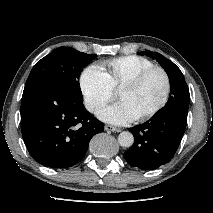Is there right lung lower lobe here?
<instances>
[{
    "label": "right lung lower lobe",
    "mask_w": 213,
    "mask_h": 213,
    "mask_svg": "<svg viewBox=\"0 0 213 213\" xmlns=\"http://www.w3.org/2000/svg\"><path fill=\"white\" fill-rule=\"evenodd\" d=\"M25 145L38 163L68 168L83 159L91 138L104 130L82 101L58 86L39 81L26 84L21 102Z\"/></svg>",
    "instance_id": "right-lung-lower-lobe-1"
}]
</instances>
